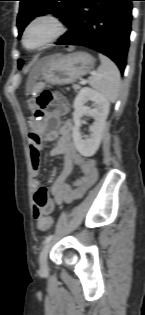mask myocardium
<instances>
[{
  "instance_id": "f54148a6",
  "label": "myocardium",
  "mask_w": 145,
  "mask_h": 315,
  "mask_svg": "<svg viewBox=\"0 0 145 315\" xmlns=\"http://www.w3.org/2000/svg\"><path fill=\"white\" fill-rule=\"evenodd\" d=\"M40 22H47L49 23L53 30L50 36L41 44L35 46V47H29L26 42V37L28 34V31L30 30L31 27H33L35 24L40 23ZM65 32V26L63 21L55 14L52 13H42L34 16L31 18L27 24L24 27L23 33H22V44L23 46L31 51L35 50H41L46 48L47 46L51 45L54 43L56 40H58Z\"/></svg>"
}]
</instances>
